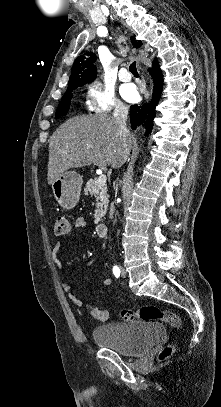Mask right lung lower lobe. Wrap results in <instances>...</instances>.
<instances>
[{
    "instance_id": "98d812e1",
    "label": "right lung lower lobe",
    "mask_w": 221,
    "mask_h": 407,
    "mask_svg": "<svg viewBox=\"0 0 221 407\" xmlns=\"http://www.w3.org/2000/svg\"><path fill=\"white\" fill-rule=\"evenodd\" d=\"M153 64L154 66L148 69L149 74L152 76L154 83L151 102L143 106L132 105L130 107V121L133 129H135L137 126L145 122V119H147V121L145 122L146 135H149V133H151L153 127V119L156 115L155 107L159 102L163 84V78L161 76L157 60H154Z\"/></svg>"
}]
</instances>
